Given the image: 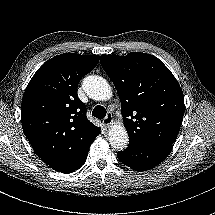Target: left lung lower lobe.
Instances as JSON below:
<instances>
[{
	"label": "left lung lower lobe",
	"mask_w": 215,
	"mask_h": 215,
	"mask_svg": "<svg viewBox=\"0 0 215 215\" xmlns=\"http://www.w3.org/2000/svg\"><path fill=\"white\" fill-rule=\"evenodd\" d=\"M172 145L143 146L129 144L117 153L119 160L137 171H146L159 165L170 153Z\"/></svg>",
	"instance_id": "1"
}]
</instances>
